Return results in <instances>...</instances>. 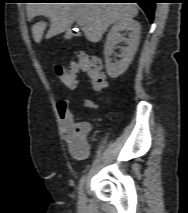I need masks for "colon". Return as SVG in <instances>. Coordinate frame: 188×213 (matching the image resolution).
Masks as SVG:
<instances>
[{"instance_id": "colon-1", "label": "colon", "mask_w": 188, "mask_h": 213, "mask_svg": "<svg viewBox=\"0 0 188 213\" xmlns=\"http://www.w3.org/2000/svg\"><path fill=\"white\" fill-rule=\"evenodd\" d=\"M58 78L69 88H75L78 84L77 74L84 73L90 80L92 88L102 92L107 86L106 76L100 71L99 62L86 54H79L77 60L69 65L58 63L54 66Z\"/></svg>"}]
</instances>
